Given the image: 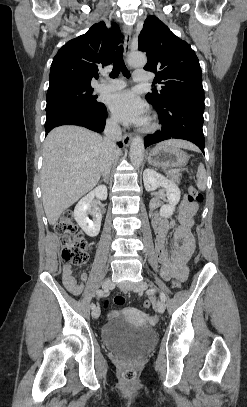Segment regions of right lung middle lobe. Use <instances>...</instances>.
<instances>
[{
  "label": "right lung middle lobe",
  "instance_id": "1",
  "mask_svg": "<svg viewBox=\"0 0 247 407\" xmlns=\"http://www.w3.org/2000/svg\"><path fill=\"white\" fill-rule=\"evenodd\" d=\"M92 87H60L47 91L46 112L66 107L96 109L101 103L92 96Z\"/></svg>",
  "mask_w": 247,
  "mask_h": 407
}]
</instances>
